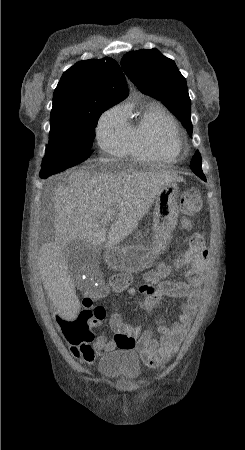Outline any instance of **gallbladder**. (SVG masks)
<instances>
[{
  "label": "gallbladder",
  "instance_id": "1",
  "mask_svg": "<svg viewBox=\"0 0 245 450\" xmlns=\"http://www.w3.org/2000/svg\"><path fill=\"white\" fill-rule=\"evenodd\" d=\"M68 261L69 273L74 278L75 284L79 283L80 275L86 274L98 266L100 252L97 248H91L86 242L74 240L65 250Z\"/></svg>",
  "mask_w": 245,
  "mask_h": 450
}]
</instances>
